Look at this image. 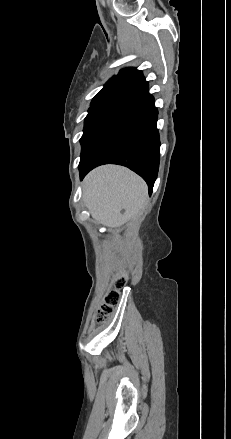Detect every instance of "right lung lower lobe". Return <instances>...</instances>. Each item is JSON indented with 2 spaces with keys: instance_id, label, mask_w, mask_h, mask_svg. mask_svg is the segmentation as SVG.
Segmentation results:
<instances>
[{
  "instance_id": "98d812e1",
  "label": "right lung lower lobe",
  "mask_w": 231,
  "mask_h": 439,
  "mask_svg": "<svg viewBox=\"0 0 231 439\" xmlns=\"http://www.w3.org/2000/svg\"><path fill=\"white\" fill-rule=\"evenodd\" d=\"M142 114L108 132L81 158V179L93 168L102 164H119L139 174L152 193L160 160V140L156 128L157 109L148 89L136 97Z\"/></svg>"
}]
</instances>
